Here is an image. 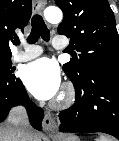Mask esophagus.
<instances>
[{
  "instance_id": "34e87169",
  "label": "esophagus",
  "mask_w": 119,
  "mask_h": 141,
  "mask_svg": "<svg viewBox=\"0 0 119 141\" xmlns=\"http://www.w3.org/2000/svg\"><path fill=\"white\" fill-rule=\"evenodd\" d=\"M45 5H46L45 0H35L33 2V13L40 14ZM42 125L44 131L47 133H54L56 131L57 122L50 111L45 112Z\"/></svg>"
}]
</instances>
